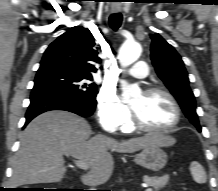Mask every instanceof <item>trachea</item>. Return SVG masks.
Wrapping results in <instances>:
<instances>
[{"label": "trachea", "instance_id": "trachea-1", "mask_svg": "<svg viewBox=\"0 0 218 191\" xmlns=\"http://www.w3.org/2000/svg\"><path fill=\"white\" fill-rule=\"evenodd\" d=\"M122 23V15L120 13L112 14L109 17V24L113 30H118Z\"/></svg>", "mask_w": 218, "mask_h": 191}]
</instances>
